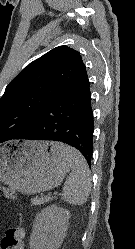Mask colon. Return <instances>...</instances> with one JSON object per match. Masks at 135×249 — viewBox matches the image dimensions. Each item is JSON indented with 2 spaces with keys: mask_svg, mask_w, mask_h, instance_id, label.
I'll list each match as a JSON object with an SVG mask.
<instances>
[{
  "mask_svg": "<svg viewBox=\"0 0 135 249\" xmlns=\"http://www.w3.org/2000/svg\"><path fill=\"white\" fill-rule=\"evenodd\" d=\"M0 191L3 196L7 199H15L16 194L15 191L6 186H0ZM24 236L25 232L22 228L13 227L9 228L3 234L0 247L1 249H23L24 248Z\"/></svg>",
  "mask_w": 135,
  "mask_h": 249,
  "instance_id": "5ec220e1",
  "label": "colon"
}]
</instances>
